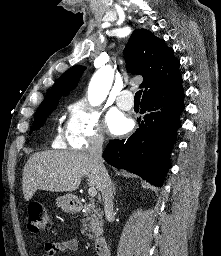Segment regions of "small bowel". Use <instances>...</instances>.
I'll use <instances>...</instances> for the list:
<instances>
[{"mask_svg":"<svg viewBox=\"0 0 221 256\" xmlns=\"http://www.w3.org/2000/svg\"><path fill=\"white\" fill-rule=\"evenodd\" d=\"M79 249V241L74 238L59 242H46L42 256H55L57 252H75Z\"/></svg>","mask_w":221,"mask_h":256,"instance_id":"c3829d8e","label":"small bowel"}]
</instances>
